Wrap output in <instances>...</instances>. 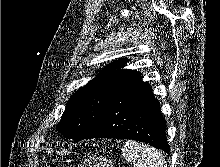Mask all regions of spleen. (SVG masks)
<instances>
[{"label": "spleen", "instance_id": "spleen-1", "mask_svg": "<svg viewBox=\"0 0 220 167\" xmlns=\"http://www.w3.org/2000/svg\"><path fill=\"white\" fill-rule=\"evenodd\" d=\"M122 155L133 167H167L162 152L135 141L125 143Z\"/></svg>", "mask_w": 220, "mask_h": 167}]
</instances>
